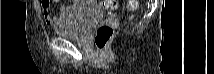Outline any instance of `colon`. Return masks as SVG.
Listing matches in <instances>:
<instances>
[{
  "instance_id": "obj_1",
  "label": "colon",
  "mask_w": 214,
  "mask_h": 74,
  "mask_svg": "<svg viewBox=\"0 0 214 74\" xmlns=\"http://www.w3.org/2000/svg\"><path fill=\"white\" fill-rule=\"evenodd\" d=\"M102 4L105 9L109 10H114L118 7V2L112 0L102 1ZM137 6H138L137 1L130 0L127 2V8L131 12H134L137 9ZM113 31L114 24H104L98 28L95 36V44L99 49L104 50L107 47L110 39L113 36Z\"/></svg>"
}]
</instances>
